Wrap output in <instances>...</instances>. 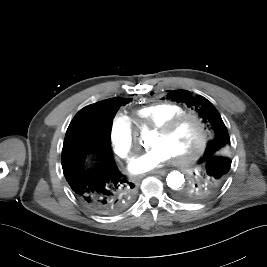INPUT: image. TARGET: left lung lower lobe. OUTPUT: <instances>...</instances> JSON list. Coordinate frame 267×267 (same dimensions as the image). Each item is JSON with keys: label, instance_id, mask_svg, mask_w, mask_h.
Segmentation results:
<instances>
[{"label": "left lung lower lobe", "instance_id": "1", "mask_svg": "<svg viewBox=\"0 0 267 267\" xmlns=\"http://www.w3.org/2000/svg\"><path fill=\"white\" fill-rule=\"evenodd\" d=\"M231 168L232 161L224 153H207L194 159L190 181L178 189L176 199L183 204L209 201L224 190Z\"/></svg>", "mask_w": 267, "mask_h": 267}]
</instances>
